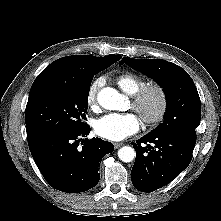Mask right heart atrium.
<instances>
[{
	"instance_id": "d8ad5b80",
	"label": "right heart atrium",
	"mask_w": 221,
	"mask_h": 221,
	"mask_svg": "<svg viewBox=\"0 0 221 221\" xmlns=\"http://www.w3.org/2000/svg\"><path fill=\"white\" fill-rule=\"evenodd\" d=\"M103 83L104 80L102 78H97L88 87L86 102L91 109L97 108V96L100 88L103 86Z\"/></svg>"
}]
</instances>
